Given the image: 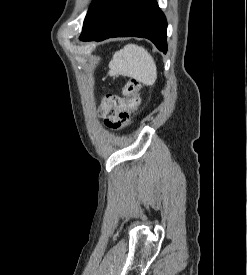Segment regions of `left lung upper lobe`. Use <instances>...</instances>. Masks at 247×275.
<instances>
[{"mask_svg":"<svg viewBox=\"0 0 247 275\" xmlns=\"http://www.w3.org/2000/svg\"><path fill=\"white\" fill-rule=\"evenodd\" d=\"M101 0H94L88 10V13L86 15L85 20L87 19V17L90 15V13L92 12V10L96 7V5L100 2Z\"/></svg>","mask_w":247,"mask_h":275,"instance_id":"obj_1","label":"left lung upper lobe"}]
</instances>
